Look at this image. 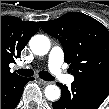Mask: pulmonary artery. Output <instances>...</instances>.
<instances>
[{
	"label": "pulmonary artery",
	"mask_w": 109,
	"mask_h": 109,
	"mask_svg": "<svg viewBox=\"0 0 109 109\" xmlns=\"http://www.w3.org/2000/svg\"><path fill=\"white\" fill-rule=\"evenodd\" d=\"M63 57L62 48L59 46L53 47L47 58L48 69L58 81L65 84H71L74 81V77L65 74L62 68Z\"/></svg>",
	"instance_id": "pulmonary-artery-1"
}]
</instances>
